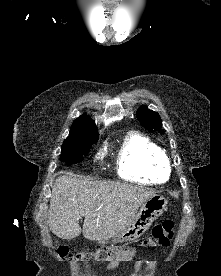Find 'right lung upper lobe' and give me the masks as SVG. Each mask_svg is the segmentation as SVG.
Instances as JSON below:
<instances>
[{"label": "right lung upper lobe", "mask_w": 221, "mask_h": 276, "mask_svg": "<svg viewBox=\"0 0 221 276\" xmlns=\"http://www.w3.org/2000/svg\"><path fill=\"white\" fill-rule=\"evenodd\" d=\"M99 134L97 133V127L93 120L89 116L84 115L76 119L73 122L69 136L64 142L72 141H94L97 140Z\"/></svg>", "instance_id": "obj_1"}]
</instances>
